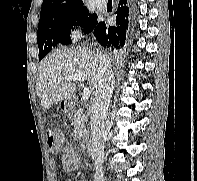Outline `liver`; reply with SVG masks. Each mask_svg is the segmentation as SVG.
<instances>
[{
    "label": "liver",
    "mask_w": 197,
    "mask_h": 181,
    "mask_svg": "<svg viewBox=\"0 0 197 181\" xmlns=\"http://www.w3.org/2000/svg\"><path fill=\"white\" fill-rule=\"evenodd\" d=\"M101 59L110 62L107 55L89 49L67 48L50 54L40 62L37 72L36 93L44 111L53 104L69 98L76 89L74 83L58 81L59 77L83 73L87 75L90 91L96 93ZM112 67V65H111Z\"/></svg>",
    "instance_id": "liver-1"
}]
</instances>
